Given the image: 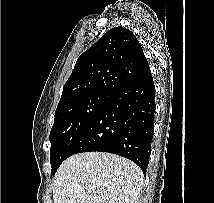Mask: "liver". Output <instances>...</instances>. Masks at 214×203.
<instances>
[{"label": "liver", "instance_id": "obj_1", "mask_svg": "<svg viewBox=\"0 0 214 203\" xmlns=\"http://www.w3.org/2000/svg\"><path fill=\"white\" fill-rule=\"evenodd\" d=\"M144 184L141 169L106 152H85L66 159L53 182L54 203H138Z\"/></svg>", "mask_w": 214, "mask_h": 203}]
</instances>
